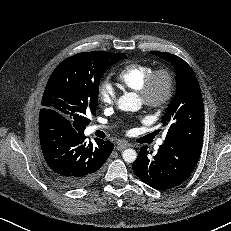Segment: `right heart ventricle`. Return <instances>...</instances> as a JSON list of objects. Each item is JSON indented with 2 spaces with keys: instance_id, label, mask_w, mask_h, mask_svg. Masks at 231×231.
I'll return each mask as SVG.
<instances>
[{
  "instance_id": "obj_1",
  "label": "right heart ventricle",
  "mask_w": 231,
  "mask_h": 231,
  "mask_svg": "<svg viewBox=\"0 0 231 231\" xmlns=\"http://www.w3.org/2000/svg\"><path fill=\"white\" fill-rule=\"evenodd\" d=\"M152 71V65L134 62L124 66L116 78L121 87L138 92Z\"/></svg>"
}]
</instances>
